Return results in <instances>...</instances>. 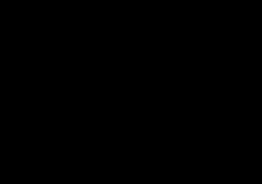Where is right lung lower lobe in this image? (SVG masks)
<instances>
[{
  "mask_svg": "<svg viewBox=\"0 0 262 184\" xmlns=\"http://www.w3.org/2000/svg\"><path fill=\"white\" fill-rule=\"evenodd\" d=\"M80 100L73 94H58L53 99L52 116L59 124L63 137L69 143H76L80 146L97 142L105 133V127L100 126L96 129L83 126L77 117L71 112L78 107ZM79 140V141H78Z\"/></svg>",
  "mask_w": 262,
  "mask_h": 184,
  "instance_id": "right-lung-lower-lobe-1",
  "label": "right lung lower lobe"
}]
</instances>
